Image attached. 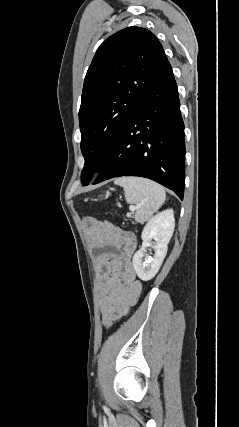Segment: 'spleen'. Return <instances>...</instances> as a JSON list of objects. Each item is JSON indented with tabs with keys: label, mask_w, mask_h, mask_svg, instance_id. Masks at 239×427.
<instances>
[{
	"label": "spleen",
	"mask_w": 239,
	"mask_h": 427,
	"mask_svg": "<svg viewBox=\"0 0 239 427\" xmlns=\"http://www.w3.org/2000/svg\"><path fill=\"white\" fill-rule=\"evenodd\" d=\"M114 183L123 187L126 202L136 204L135 220L144 223L163 205L166 198L164 188L151 180L139 177H121Z\"/></svg>",
	"instance_id": "spleen-1"
}]
</instances>
